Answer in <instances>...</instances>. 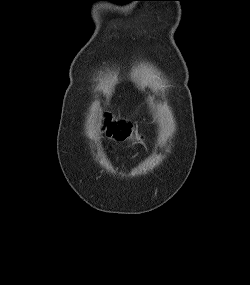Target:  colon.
<instances>
[{"instance_id":"1","label":"colon","mask_w":250,"mask_h":285,"mask_svg":"<svg viewBox=\"0 0 250 285\" xmlns=\"http://www.w3.org/2000/svg\"><path fill=\"white\" fill-rule=\"evenodd\" d=\"M105 130L108 136L116 140H131L134 143L141 141L140 135L132 128L130 123L124 121H112L107 119L105 123Z\"/></svg>"}]
</instances>
